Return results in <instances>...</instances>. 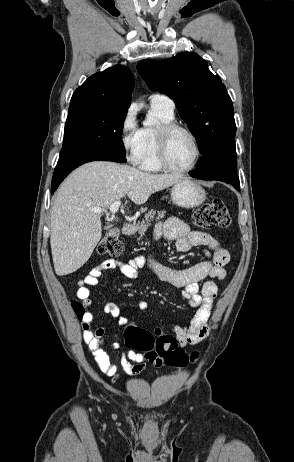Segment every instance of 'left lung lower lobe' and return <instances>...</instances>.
Segmentation results:
<instances>
[{"label": "left lung lower lobe", "instance_id": "left-lung-lower-lobe-1", "mask_svg": "<svg viewBox=\"0 0 294 462\" xmlns=\"http://www.w3.org/2000/svg\"><path fill=\"white\" fill-rule=\"evenodd\" d=\"M236 168V149L222 150L202 157L198 162L197 169L190 175L199 179L224 181L240 190Z\"/></svg>", "mask_w": 294, "mask_h": 462}]
</instances>
